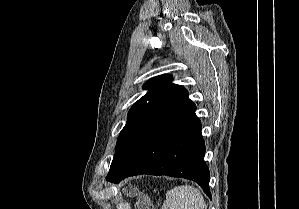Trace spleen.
Segmentation results:
<instances>
[{
  "mask_svg": "<svg viewBox=\"0 0 299 209\" xmlns=\"http://www.w3.org/2000/svg\"><path fill=\"white\" fill-rule=\"evenodd\" d=\"M162 209H207V205L200 190L190 185H182L166 193Z\"/></svg>",
  "mask_w": 299,
  "mask_h": 209,
  "instance_id": "obj_1",
  "label": "spleen"
}]
</instances>
